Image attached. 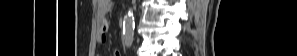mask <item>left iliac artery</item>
<instances>
[{
	"label": "left iliac artery",
	"instance_id": "obj_1",
	"mask_svg": "<svg viewBox=\"0 0 297 56\" xmlns=\"http://www.w3.org/2000/svg\"><path fill=\"white\" fill-rule=\"evenodd\" d=\"M133 42V34H128L125 36V43L129 47Z\"/></svg>",
	"mask_w": 297,
	"mask_h": 56
}]
</instances>
